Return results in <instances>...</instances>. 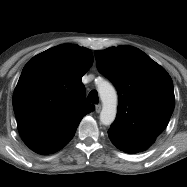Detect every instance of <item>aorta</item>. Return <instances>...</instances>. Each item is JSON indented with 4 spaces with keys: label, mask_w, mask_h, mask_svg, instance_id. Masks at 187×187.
<instances>
[{
    "label": "aorta",
    "mask_w": 187,
    "mask_h": 187,
    "mask_svg": "<svg viewBox=\"0 0 187 187\" xmlns=\"http://www.w3.org/2000/svg\"><path fill=\"white\" fill-rule=\"evenodd\" d=\"M98 93L102 100L103 108L100 113V121L103 125H110L113 123L117 113V94L113 86L101 80L98 84Z\"/></svg>",
    "instance_id": "obj_1"
}]
</instances>
